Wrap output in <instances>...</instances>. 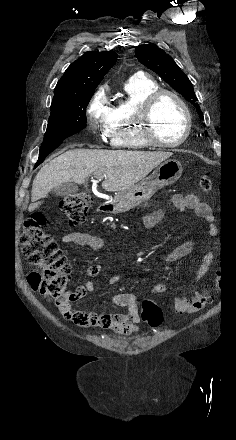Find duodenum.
Here are the masks:
<instances>
[{"mask_svg":"<svg viewBox=\"0 0 236 440\" xmlns=\"http://www.w3.org/2000/svg\"><path fill=\"white\" fill-rule=\"evenodd\" d=\"M114 209V203L112 201H104L98 207L99 213H108Z\"/></svg>","mask_w":236,"mask_h":440,"instance_id":"obj_1","label":"duodenum"}]
</instances>
